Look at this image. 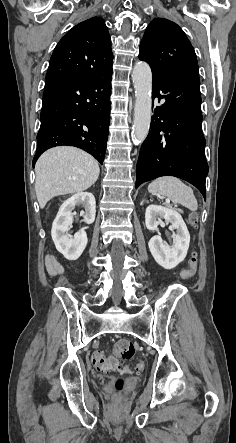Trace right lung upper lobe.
Here are the masks:
<instances>
[{"label":"right lung upper lobe","instance_id":"obj_1","mask_svg":"<svg viewBox=\"0 0 236 443\" xmlns=\"http://www.w3.org/2000/svg\"><path fill=\"white\" fill-rule=\"evenodd\" d=\"M111 39L102 18L93 17L74 26L57 44L46 80L91 77L112 69Z\"/></svg>","mask_w":236,"mask_h":443}]
</instances>
